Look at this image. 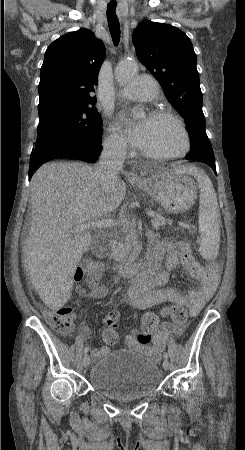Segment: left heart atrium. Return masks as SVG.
I'll use <instances>...</instances> for the list:
<instances>
[{
    "mask_svg": "<svg viewBox=\"0 0 245 450\" xmlns=\"http://www.w3.org/2000/svg\"><path fill=\"white\" fill-rule=\"evenodd\" d=\"M120 121L125 127V132L131 144L136 147H142L145 141L147 123L142 122L139 124H135L126 114L120 115Z\"/></svg>",
    "mask_w": 245,
    "mask_h": 450,
    "instance_id": "left-heart-atrium-1",
    "label": "left heart atrium"
}]
</instances>
